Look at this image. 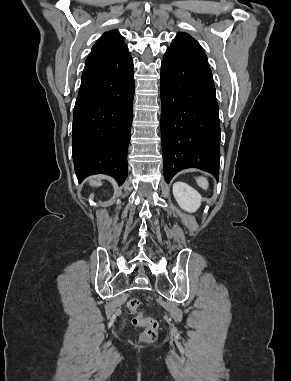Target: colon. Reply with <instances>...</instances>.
<instances>
[{"instance_id":"colon-1","label":"colon","mask_w":291,"mask_h":381,"mask_svg":"<svg viewBox=\"0 0 291 381\" xmlns=\"http://www.w3.org/2000/svg\"><path fill=\"white\" fill-rule=\"evenodd\" d=\"M140 301L137 298H132L127 303V308L131 314H134L132 323L135 326L143 327L142 338L145 341L153 342L157 338L158 323L155 319L143 316L139 312Z\"/></svg>"}]
</instances>
